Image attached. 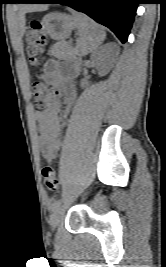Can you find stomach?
<instances>
[{
	"instance_id": "1",
	"label": "stomach",
	"mask_w": 166,
	"mask_h": 267,
	"mask_svg": "<svg viewBox=\"0 0 166 267\" xmlns=\"http://www.w3.org/2000/svg\"><path fill=\"white\" fill-rule=\"evenodd\" d=\"M42 30L54 40H65L77 26L75 17L53 12L45 15L41 22Z\"/></svg>"
}]
</instances>
